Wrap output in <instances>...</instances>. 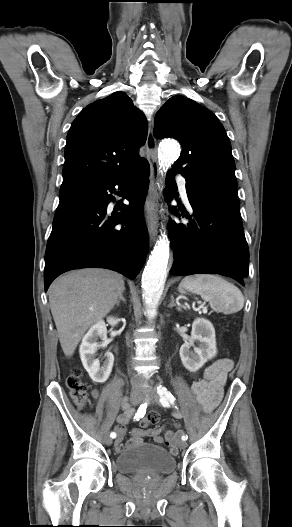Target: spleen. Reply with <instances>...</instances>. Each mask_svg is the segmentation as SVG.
I'll return each instance as SVG.
<instances>
[{
  "label": "spleen",
  "instance_id": "3e777b00",
  "mask_svg": "<svg viewBox=\"0 0 292 527\" xmlns=\"http://www.w3.org/2000/svg\"><path fill=\"white\" fill-rule=\"evenodd\" d=\"M184 289L200 295L216 311L235 313L244 306V297L241 291L216 275L186 276L179 285L180 292H183Z\"/></svg>",
  "mask_w": 292,
  "mask_h": 527
}]
</instances>
